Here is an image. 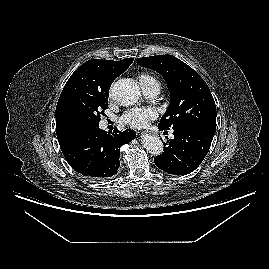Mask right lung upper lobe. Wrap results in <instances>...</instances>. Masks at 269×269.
Instances as JSON below:
<instances>
[{"label": "right lung upper lobe", "instance_id": "1", "mask_svg": "<svg viewBox=\"0 0 269 269\" xmlns=\"http://www.w3.org/2000/svg\"><path fill=\"white\" fill-rule=\"evenodd\" d=\"M133 58L120 61L92 59L82 64L69 78L64 92L71 84L78 83L88 88L109 90L112 82L126 71L132 64ZM62 94V93H61ZM56 132L60 133L73 127L61 121L56 107Z\"/></svg>", "mask_w": 269, "mask_h": 269}]
</instances>
